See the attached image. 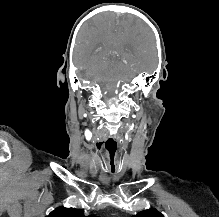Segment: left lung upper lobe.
Wrapping results in <instances>:
<instances>
[{
    "mask_svg": "<svg viewBox=\"0 0 219 217\" xmlns=\"http://www.w3.org/2000/svg\"><path fill=\"white\" fill-rule=\"evenodd\" d=\"M132 217H164V216L159 211L152 208V209L141 211L137 215Z\"/></svg>",
    "mask_w": 219,
    "mask_h": 217,
    "instance_id": "5c2ea615",
    "label": "left lung upper lobe"
}]
</instances>
